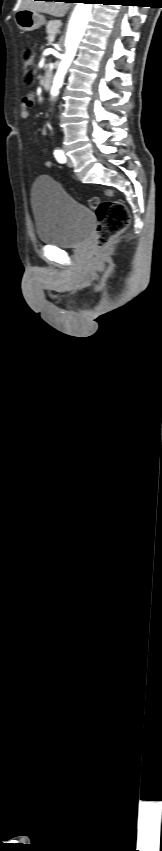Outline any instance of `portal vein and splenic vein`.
Returning <instances> with one entry per match:
<instances>
[{
    "label": "portal vein and splenic vein",
    "instance_id": "1",
    "mask_svg": "<svg viewBox=\"0 0 162 851\" xmlns=\"http://www.w3.org/2000/svg\"><path fill=\"white\" fill-rule=\"evenodd\" d=\"M50 41H51V42H53V41H54V37H52V38L50 39Z\"/></svg>",
    "mask_w": 162,
    "mask_h": 851
}]
</instances>
